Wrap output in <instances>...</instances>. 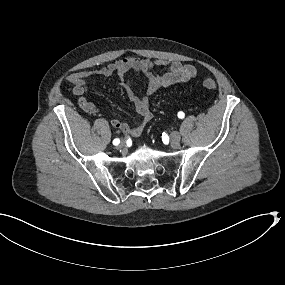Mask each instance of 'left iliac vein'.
Listing matches in <instances>:
<instances>
[{
    "instance_id": "left-iliac-vein-1",
    "label": "left iliac vein",
    "mask_w": 285,
    "mask_h": 285,
    "mask_svg": "<svg viewBox=\"0 0 285 285\" xmlns=\"http://www.w3.org/2000/svg\"><path fill=\"white\" fill-rule=\"evenodd\" d=\"M180 140H181V137H180L179 132H177V131L171 132V134H170V144H171L172 147L177 148L179 146V144H180Z\"/></svg>"
}]
</instances>
